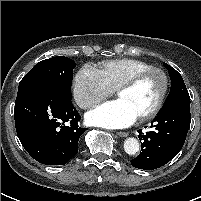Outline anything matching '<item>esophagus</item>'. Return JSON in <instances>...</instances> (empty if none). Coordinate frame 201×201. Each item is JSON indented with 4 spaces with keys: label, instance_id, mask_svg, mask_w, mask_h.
Masks as SVG:
<instances>
[{
    "label": "esophagus",
    "instance_id": "esophagus-1",
    "mask_svg": "<svg viewBox=\"0 0 201 201\" xmlns=\"http://www.w3.org/2000/svg\"><path fill=\"white\" fill-rule=\"evenodd\" d=\"M118 136H120V137H127L128 135H129V133L128 132H117L116 133Z\"/></svg>",
    "mask_w": 201,
    "mask_h": 201
}]
</instances>
